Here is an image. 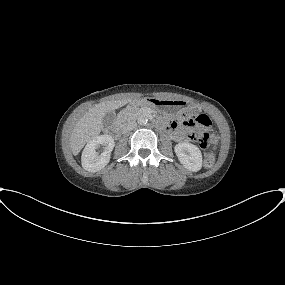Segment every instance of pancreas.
I'll list each match as a JSON object with an SVG mask.
<instances>
[{"mask_svg":"<svg viewBox=\"0 0 285 285\" xmlns=\"http://www.w3.org/2000/svg\"><path fill=\"white\" fill-rule=\"evenodd\" d=\"M138 113H140L139 109L129 106L124 111H122V113L119 116L118 122H123L127 118L136 115Z\"/></svg>","mask_w":285,"mask_h":285,"instance_id":"pancreas-1","label":"pancreas"}]
</instances>
